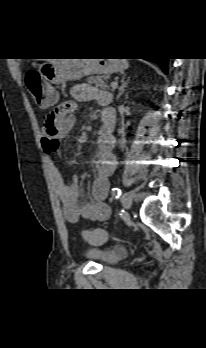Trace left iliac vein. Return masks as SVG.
Listing matches in <instances>:
<instances>
[{"instance_id":"1","label":"left iliac vein","mask_w":206,"mask_h":348,"mask_svg":"<svg viewBox=\"0 0 206 348\" xmlns=\"http://www.w3.org/2000/svg\"><path fill=\"white\" fill-rule=\"evenodd\" d=\"M121 203L126 210H129L133 203V195L130 192H125L121 197Z\"/></svg>"}]
</instances>
